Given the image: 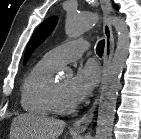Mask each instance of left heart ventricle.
I'll return each mask as SVG.
<instances>
[{
  "label": "left heart ventricle",
  "mask_w": 141,
  "mask_h": 139,
  "mask_svg": "<svg viewBox=\"0 0 141 139\" xmlns=\"http://www.w3.org/2000/svg\"><path fill=\"white\" fill-rule=\"evenodd\" d=\"M71 81L72 79L70 77L61 78L58 81H56V84L60 91L61 98L67 104L74 103L70 96Z\"/></svg>",
  "instance_id": "obj_1"
}]
</instances>
